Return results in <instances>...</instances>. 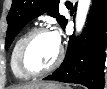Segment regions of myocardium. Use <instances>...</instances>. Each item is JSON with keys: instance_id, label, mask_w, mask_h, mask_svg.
Wrapping results in <instances>:
<instances>
[{"instance_id": "myocardium-1", "label": "myocardium", "mask_w": 107, "mask_h": 89, "mask_svg": "<svg viewBox=\"0 0 107 89\" xmlns=\"http://www.w3.org/2000/svg\"><path fill=\"white\" fill-rule=\"evenodd\" d=\"M42 33H52V31L48 27H45V26H40V27L34 28L26 36V38L22 42L19 52H18V66H19L20 70L29 77H38V76L51 72L54 69H56L63 60L64 52H63L62 47L59 46L58 55H57L55 61L50 66L43 68V69H39V70H32L27 66V64H26L27 50H28L31 42L33 41V39L37 35L42 34Z\"/></svg>"}]
</instances>
